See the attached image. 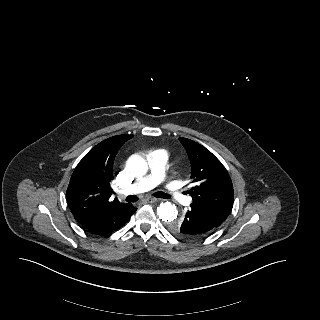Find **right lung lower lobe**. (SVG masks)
Instances as JSON below:
<instances>
[{
	"instance_id": "98d812e1",
	"label": "right lung lower lobe",
	"mask_w": 320,
	"mask_h": 320,
	"mask_svg": "<svg viewBox=\"0 0 320 320\" xmlns=\"http://www.w3.org/2000/svg\"><path fill=\"white\" fill-rule=\"evenodd\" d=\"M136 210L132 204H126L81 225L88 233L103 236L125 225Z\"/></svg>"
}]
</instances>
